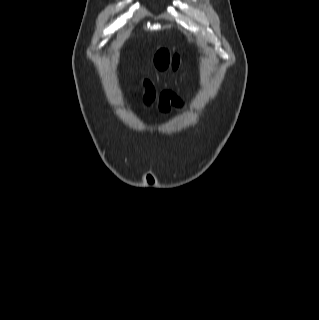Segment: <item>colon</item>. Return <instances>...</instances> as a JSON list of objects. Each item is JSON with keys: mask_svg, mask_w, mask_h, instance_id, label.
<instances>
[{"mask_svg": "<svg viewBox=\"0 0 319 320\" xmlns=\"http://www.w3.org/2000/svg\"><path fill=\"white\" fill-rule=\"evenodd\" d=\"M154 64L159 70L173 69L176 70L181 65L180 57L172 54L168 50H159L154 57Z\"/></svg>", "mask_w": 319, "mask_h": 320, "instance_id": "5ec220e1", "label": "colon"}]
</instances>
